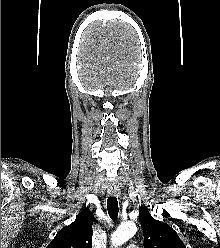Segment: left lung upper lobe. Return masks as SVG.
I'll return each instance as SVG.
<instances>
[{
  "label": "left lung upper lobe",
  "mask_w": 220,
  "mask_h": 248,
  "mask_svg": "<svg viewBox=\"0 0 220 248\" xmlns=\"http://www.w3.org/2000/svg\"><path fill=\"white\" fill-rule=\"evenodd\" d=\"M145 248H186L177 233L167 224L155 220L146 207L139 212Z\"/></svg>",
  "instance_id": "obj_1"
}]
</instances>
